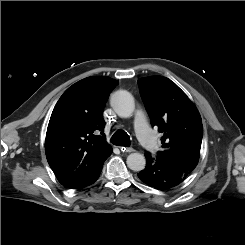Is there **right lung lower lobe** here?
I'll list each match as a JSON object with an SVG mask.
<instances>
[{
	"label": "right lung lower lobe",
	"mask_w": 245,
	"mask_h": 245,
	"mask_svg": "<svg viewBox=\"0 0 245 245\" xmlns=\"http://www.w3.org/2000/svg\"><path fill=\"white\" fill-rule=\"evenodd\" d=\"M103 164L97 166L89 175L85 178L74 184L73 186L69 187L71 189H81L86 186L93 184L100 176Z\"/></svg>",
	"instance_id": "obj_1"
}]
</instances>
